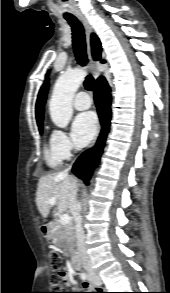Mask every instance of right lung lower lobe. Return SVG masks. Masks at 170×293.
<instances>
[{
    "label": "right lung lower lobe",
    "mask_w": 170,
    "mask_h": 293,
    "mask_svg": "<svg viewBox=\"0 0 170 293\" xmlns=\"http://www.w3.org/2000/svg\"><path fill=\"white\" fill-rule=\"evenodd\" d=\"M95 103L97 111L102 124L101 134L97 140L94 148L84 152L74 163L72 172L80 179L88 184V180L92 174L93 169L97 166L100 156L103 151L105 139L109 131L111 118V95L110 87L103 77L96 81V90L94 92Z\"/></svg>",
    "instance_id": "obj_1"
}]
</instances>
